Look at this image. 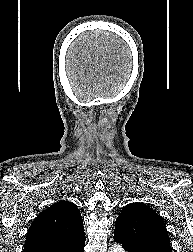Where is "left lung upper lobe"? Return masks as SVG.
<instances>
[{"label": "left lung upper lobe", "instance_id": "5c2ea615", "mask_svg": "<svg viewBox=\"0 0 193 252\" xmlns=\"http://www.w3.org/2000/svg\"><path fill=\"white\" fill-rule=\"evenodd\" d=\"M114 236L125 246L161 243L170 246V239L161 217L143 203H130L119 214Z\"/></svg>", "mask_w": 193, "mask_h": 252}]
</instances>
